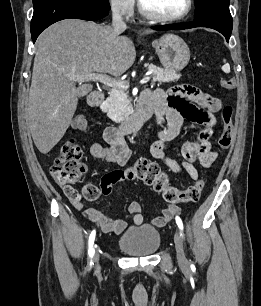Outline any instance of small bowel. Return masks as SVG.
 <instances>
[{
    "label": "small bowel",
    "mask_w": 261,
    "mask_h": 306,
    "mask_svg": "<svg viewBox=\"0 0 261 306\" xmlns=\"http://www.w3.org/2000/svg\"><path fill=\"white\" fill-rule=\"evenodd\" d=\"M142 99L151 103L158 128V139L150 147L151 155L171 172L187 174L192 179H197L198 171L194 162L199 161L202 166L209 167L217 157V153L211 148L210 138L217 124L214 114L221 110V101L192 85H179L167 92L161 89L145 92ZM184 120L205 126V128L194 139L185 142L180 147L183 160L179 162L169 157L167 150L169 144L179 135ZM104 140L105 145L93 143L90 146V156L105 162L125 165L130 152L122 135L115 128H108L104 133ZM109 174L102 179L101 183L103 193L106 195L111 194L114 185L119 183L109 181ZM92 186L86 185L83 192ZM63 189L74 207L88 220L99 225L104 233L121 234L126 230L127 223L124 220L113 219L93 207H85L79 195ZM128 210L133 216V223L137 226L141 225L143 216L140 204L135 201L131 202ZM180 210V206L170 205L163 209L159 216L153 218L152 224L162 227L171 221Z\"/></svg>",
    "instance_id": "1"
}]
</instances>
